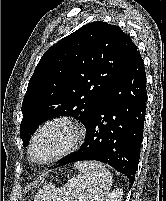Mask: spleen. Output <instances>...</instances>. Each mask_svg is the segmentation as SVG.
<instances>
[{
	"instance_id": "3e777b00",
	"label": "spleen",
	"mask_w": 166,
	"mask_h": 201,
	"mask_svg": "<svg viewBox=\"0 0 166 201\" xmlns=\"http://www.w3.org/2000/svg\"><path fill=\"white\" fill-rule=\"evenodd\" d=\"M79 175L63 187L50 184L37 194L39 201H102L112 186L111 173L100 163L83 161L75 163Z\"/></svg>"
}]
</instances>
